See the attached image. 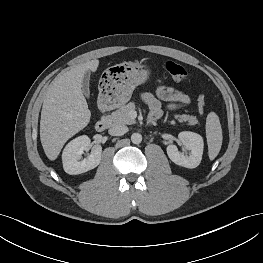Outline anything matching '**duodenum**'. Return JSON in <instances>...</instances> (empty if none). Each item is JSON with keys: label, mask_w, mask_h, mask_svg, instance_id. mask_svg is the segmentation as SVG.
<instances>
[{"label": "duodenum", "mask_w": 263, "mask_h": 263, "mask_svg": "<svg viewBox=\"0 0 263 263\" xmlns=\"http://www.w3.org/2000/svg\"><path fill=\"white\" fill-rule=\"evenodd\" d=\"M100 110L103 112H107L109 110V106L104 102L100 103ZM109 124V118L104 114L95 124V130L97 132H103Z\"/></svg>", "instance_id": "410a0bca"}]
</instances>
